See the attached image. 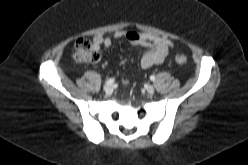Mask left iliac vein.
<instances>
[{
  "instance_id": "4c4485c4",
  "label": "left iliac vein",
  "mask_w": 248,
  "mask_h": 165,
  "mask_svg": "<svg viewBox=\"0 0 248 165\" xmlns=\"http://www.w3.org/2000/svg\"><path fill=\"white\" fill-rule=\"evenodd\" d=\"M145 89L149 94H153L155 92V88L152 85H147Z\"/></svg>"
}]
</instances>
